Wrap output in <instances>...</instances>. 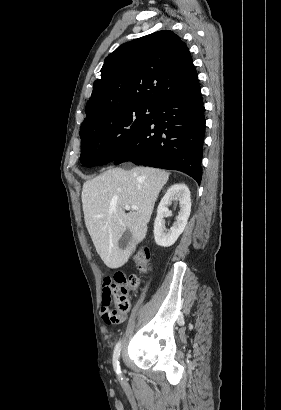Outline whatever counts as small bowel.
Returning a JSON list of instances; mask_svg holds the SVG:
<instances>
[{
	"label": "small bowel",
	"instance_id": "obj_1",
	"mask_svg": "<svg viewBox=\"0 0 281 410\" xmlns=\"http://www.w3.org/2000/svg\"><path fill=\"white\" fill-rule=\"evenodd\" d=\"M112 283V280L109 276L104 277L103 282H102V304H101V313L103 318H105V315L107 312L110 310V285ZM124 318V316H121L120 321Z\"/></svg>",
	"mask_w": 281,
	"mask_h": 410
}]
</instances>
